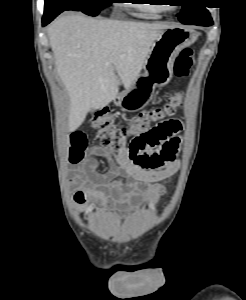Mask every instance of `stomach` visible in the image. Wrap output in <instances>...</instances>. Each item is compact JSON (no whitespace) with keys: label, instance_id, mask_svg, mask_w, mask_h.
<instances>
[{"label":"stomach","instance_id":"0dacf381","mask_svg":"<svg viewBox=\"0 0 246 300\" xmlns=\"http://www.w3.org/2000/svg\"><path fill=\"white\" fill-rule=\"evenodd\" d=\"M192 29L172 27L165 30L151 46L145 62V72L113 102L125 111L143 109L152 99L156 86L167 84L172 77V64L182 49L197 40Z\"/></svg>","mask_w":246,"mask_h":300}]
</instances>
